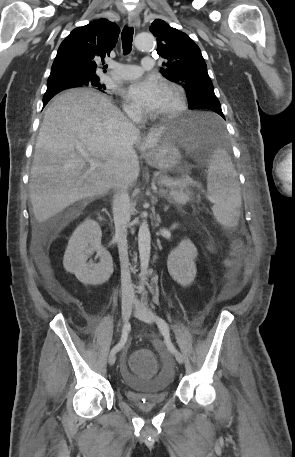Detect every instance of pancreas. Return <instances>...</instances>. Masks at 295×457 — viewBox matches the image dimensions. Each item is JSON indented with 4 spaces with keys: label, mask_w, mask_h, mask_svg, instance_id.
Segmentation results:
<instances>
[{
    "label": "pancreas",
    "mask_w": 295,
    "mask_h": 457,
    "mask_svg": "<svg viewBox=\"0 0 295 457\" xmlns=\"http://www.w3.org/2000/svg\"><path fill=\"white\" fill-rule=\"evenodd\" d=\"M192 184L193 182L188 183L186 185L170 186L167 190H161L160 193L171 202H175L177 204H184L191 200L193 196V193L190 189V186Z\"/></svg>",
    "instance_id": "cf45deb5"
}]
</instances>
